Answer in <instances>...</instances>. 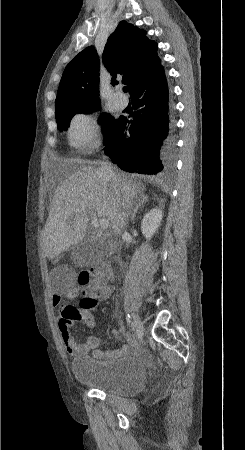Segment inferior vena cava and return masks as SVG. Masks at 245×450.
<instances>
[{"label": "inferior vena cava", "mask_w": 245, "mask_h": 450, "mask_svg": "<svg viewBox=\"0 0 245 450\" xmlns=\"http://www.w3.org/2000/svg\"><path fill=\"white\" fill-rule=\"evenodd\" d=\"M106 158L105 156L103 157ZM99 176L105 179L106 181L110 182L112 188L115 190V196L117 199H119L120 194L117 190L118 187V177L112 170L110 164L108 162H103L101 167L99 168Z\"/></svg>", "instance_id": "obj_1"}]
</instances>
